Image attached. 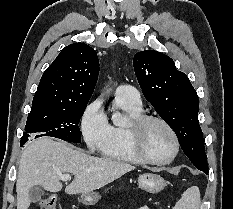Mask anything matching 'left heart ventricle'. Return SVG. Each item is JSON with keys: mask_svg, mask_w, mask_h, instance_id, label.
Instances as JSON below:
<instances>
[{"mask_svg": "<svg viewBox=\"0 0 233 209\" xmlns=\"http://www.w3.org/2000/svg\"><path fill=\"white\" fill-rule=\"evenodd\" d=\"M143 148L150 158L162 161L172 155L174 144L171 135L162 125L151 122L144 131Z\"/></svg>", "mask_w": 233, "mask_h": 209, "instance_id": "obj_1", "label": "left heart ventricle"}]
</instances>
